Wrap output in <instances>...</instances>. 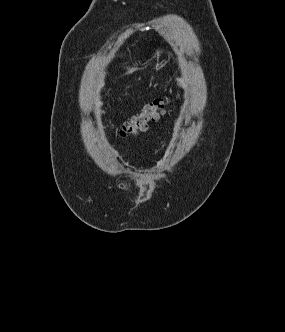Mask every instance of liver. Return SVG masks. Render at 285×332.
<instances>
[{
	"label": "liver",
	"instance_id": "1",
	"mask_svg": "<svg viewBox=\"0 0 285 332\" xmlns=\"http://www.w3.org/2000/svg\"><path fill=\"white\" fill-rule=\"evenodd\" d=\"M133 70H134V69L129 70L128 73H131Z\"/></svg>",
	"mask_w": 285,
	"mask_h": 332
}]
</instances>
